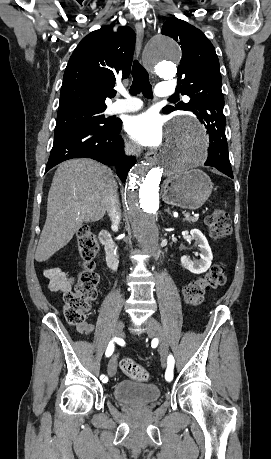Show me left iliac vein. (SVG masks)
I'll return each instance as SVG.
<instances>
[{"label":"left iliac vein","instance_id":"obj_1","mask_svg":"<svg viewBox=\"0 0 271 459\" xmlns=\"http://www.w3.org/2000/svg\"><path fill=\"white\" fill-rule=\"evenodd\" d=\"M145 328L147 330L148 335H150L151 337L155 336L158 338L161 362L163 366H166L169 356V345L163 327L156 319H154L153 317H149L146 322Z\"/></svg>","mask_w":271,"mask_h":459}]
</instances>
